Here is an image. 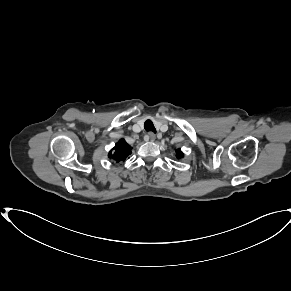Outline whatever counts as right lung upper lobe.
I'll use <instances>...</instances> for the list:
<instances>
[{"mask_svg": "<svg viewBox=\"0 0 291 291\" xmlns=\"http://www.w3.org/2000/svg\"><path fill=\"white\" fill-rule=\"evenodd\" d=\"M132 147L126 143L124 139L119 140L115 147L109 152V158L120 162L125 161L126 158L131 154Z\"/></svg>", "mask_w": 291, "mask_h": 291, "instance_id": "1", "label": "right lung upper lobe"}]
</instances>
